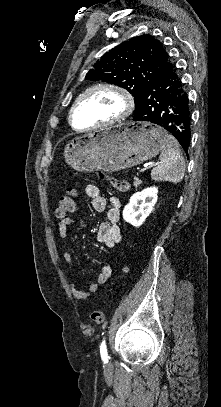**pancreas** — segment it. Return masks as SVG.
I'll return each instance as SVG.
<instances>
[{
    "label": "pancreas",
    "mask_w": 221,
    "mask_h": 407,
    "mask_svg": "<svg viewBox=\"0 0 221 407\" xmlns=\"http://www.w3.org/2000/svg\"><path fill=\"white\" fill-rule=\"evenodd\" d=\"M141 183H142V181L139 178H137V177L134 178V186L135 187L140 186Z\"/></svg>",
    "instance_id": "pancreas-1"
}]
</instances>
